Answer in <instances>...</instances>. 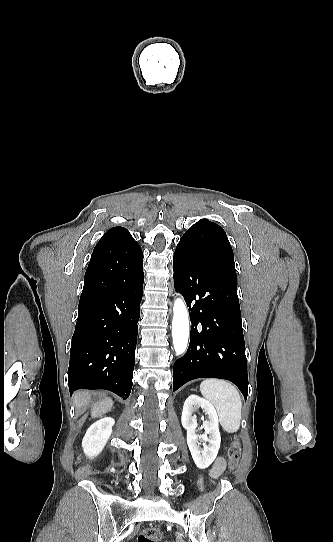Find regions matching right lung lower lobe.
<instances>
[{
    "label": "right lung lower lobe",
    "mask_w": 333,
    "mask_h": 542,
    "mask_svg": "<svg viewBox=\"0 0 333 542\" xmlns=\"http://www.w3.org/2000/svg\"><path fill=\"white\" fill-rule=\"evenodd\" d=\"M143 252L132 239L93 251L72 337L69 390L132 388L144 282Z\"/></svg>",
    "instance_id": "right-lung-lower-lobe-1"
}]
</instances>
